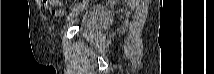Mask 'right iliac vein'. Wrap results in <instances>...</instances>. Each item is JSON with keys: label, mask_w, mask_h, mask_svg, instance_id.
Wrapping results in <instances>:
<instances>
[{"label": "right iliac vein", "mask_w": 214, "mask_h": 74, "mask_svg": "<svg viewBox=\"0 0 214 74\" xmlns=\"http://www.w3.org/2000/svg\"><path fill=\"white\" fill-rule=\"evenodd\" d=\"M86 6V2L79 4L78 6L74 7L70 13V17H76Z\"/></svg>", "instance_id": "right-iliac-vein-1"}]
</instances>
